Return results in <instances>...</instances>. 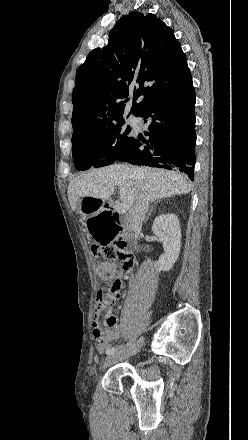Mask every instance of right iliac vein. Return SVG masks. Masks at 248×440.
<instances>
[{"label":"right iliac vein","mask_w":248,"mask_h":440,"mask_svg":"<svg viewBox=\"0 0 248 440\" xmlns=\"http://www.w3.org/2000/svg\"><path fill=\"white\" fill-rule=\"evenodd\" d=\"M141 346H142V340L140 339L137 343L133 344L128 349L121 351V352H118V353L110 354L105 359V361L102 365V368H105V367L109 366L110 364L117 362L118 360L126 359V358H129L130 356L135 355L140 350Z\"/></svg>","instance_id":"obj_1"}]
</instances>
